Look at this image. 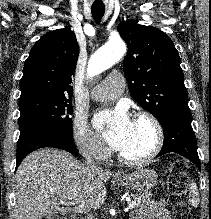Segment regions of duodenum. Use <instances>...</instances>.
<instances>
[{"label": "duodenum", "mask_w": 211, "mask_h": 219, "mask_svg": "<svg viewBox=\"0 0 211 219\" xmlns=\"http://www.w3.org/2000/svg\"><path fill=\"white\" fill-rule=\"evenodd\" d=\"M68 219H78V218H76V217H70V218H68Z\"/></svg>", "instance_id": "410a0bca"}]
</instances>
